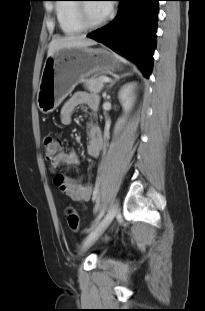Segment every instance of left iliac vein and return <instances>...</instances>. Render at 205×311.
Returning <instances> with one entry per match:
<instances>
[{
  "label": "left iliac vein",
  "instance_id": "obj_1",
  "mask_svg": "<svg viewBox=\"0 0 205 311\" xmlns=\"http://www.w3.org/2000/svg\"><path fill=\"white\" fill-rule=\"evenodd\" d=\"M118 212V203L115 202L110 206L103 219L92 229V231L84 239L81 247L82 252H85L104 233V231L111 224L112 220L115 218Z\"/></svg>",
  "mask_w": 205,
  "mask_h": 311
}]
</instances>
